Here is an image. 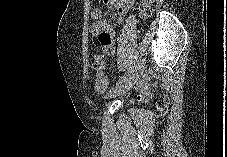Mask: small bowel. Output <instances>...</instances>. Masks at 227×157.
Returning a JSON list of instances; mask_svg holds the SVG:
<instances>
[{"mask_svg": "<svg viewBox=\"0 0 227 157\" xmlns=\"http://www.w3.org/2000/svg\"><path fill=\"white\" fill-rule=\"evenodd\" d=\"M115 6L116 12L120 20L128 13L132 7L134 0H104ZM93 23L91 26L92 34L99 39V42L106 47L108 53L114 52V41L116 34L111 23L105 19L102 8H95L91 12Z\"/></svg>", "mask_w": 227, "mask_h": 157, "instance_id": "c3829d8e", "label": "small bowel"}]
</instances>
